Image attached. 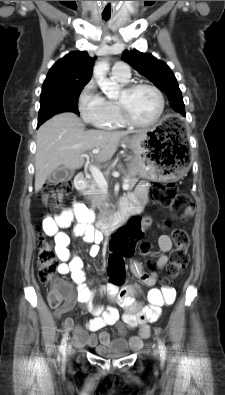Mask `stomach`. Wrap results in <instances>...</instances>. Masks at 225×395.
<instances>
[{
    "label": "stomach",
    "instance_id": "obj_1",
    "mask_svg": "<svg viewBox=\"0 0 225 395\" xmlns=\"http://www.w3.org/2000/svg\"><path fill=\"white\" fill-rule=\"evenodd\" d=\"M160 138L156 127L144 136L136 134L126 138L125 142L134 153L128 166L131 176L139 175L151 181H162L178 179L185 174V164H182L180 156L176 158L177 154L168 152L167 146H162L165 140Z\"/></svg>",
    "mask_w": 225,
    "mask_h": 395
}]
</instances>
